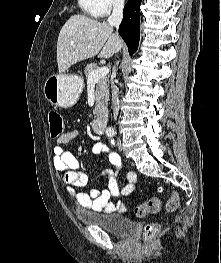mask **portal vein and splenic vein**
<instances>
[{"label": "portal vein and splenic vein", "instance_id": "portal-vein-and-splenic-vein-1", "mask_svg": "<svg viewBox=\"0 0 221 263\" xmlns=\"http://www.w3.org/2000/svg\"><path fill=\"white\" fill-rule=\"evenodd\" d=\"M109 73V68L104 66L98 70L92 71L88 76V83L96 82L98 79L105 77Z\"/></svg>", "mask_w": 221, "mask_h": 263}]
</instances>
